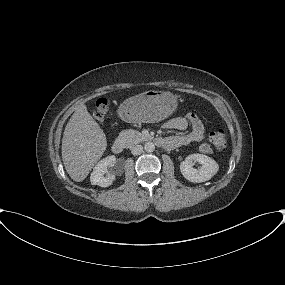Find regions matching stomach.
<instances>
[{"instance_id": "0dacf381", "label": "stomach", "mask_w": 285, "mask_h": 285, "mask_svg": "<svg viewBox=\"0 0 285 285\" xmlns=\"http://www.w3.org/2000/svg\"><path fill=\"white\" fill-rule=\"evenodd\" d=\"M178 98L169 91L149 90L126 99L119 107L120 117L132 123H155L170 116Z\"/></svg>"}]
</instances>
